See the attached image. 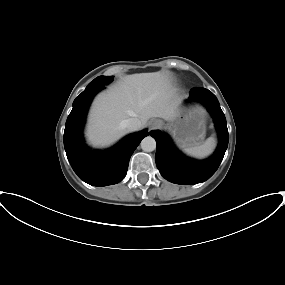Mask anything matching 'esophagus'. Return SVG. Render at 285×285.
<instances>
[{"instance_id":"1","label":"esophagus","mask_w":285,"mask_h":285,"mask_svg":"<svg viewBox=\"0 0 285 285\" xmlns=\"http://www.w3.org/2000/svg\"><path fill=\"white\" fill-rule=\"evenodd\" d=\"M162 126V121L159 119H153L149 123L150 129H158Z\"/></svg>"}]
</instances>
